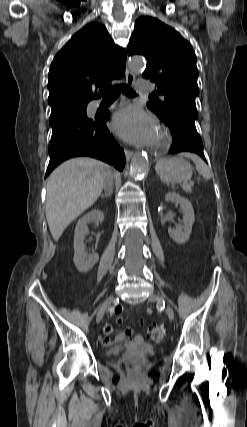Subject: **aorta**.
<instances>
[{
  "instance_id": "obj_1",
  "label": "aorta",
  "mask_w": 247,
  "mask_h": 427,
  "mask_svg": "<svg viewBox=\"0 0 247 427\" xmlns=\"http://www.w3.org/2000/svg\"><path fill=\"white\" fill-rule=\"evenodd\" d=\"M129 69L133 73H140L145 67V62L139 57H132L129 60ZM148 169V158L146 154L137 153L133 157L130 164V175L131 177L141 176Z\"/></svg>"
}]
</instances>
